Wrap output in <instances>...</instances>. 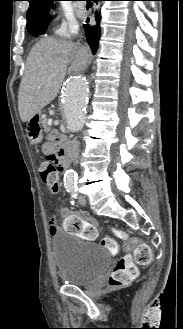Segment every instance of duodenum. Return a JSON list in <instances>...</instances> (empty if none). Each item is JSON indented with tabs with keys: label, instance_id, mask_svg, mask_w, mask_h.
<instances>
[{
	"label": "duodenum",
	"instance_id": "obj_1",
	"mask_svg": "<svg viewBox=\"0 0 183 329\" xmlns=\"http://www.w3.org/2000/svg\"><path fill=\"white\" fill-rule=\"evenodd\" d=\"M57 153L59 155V160L62 168L63 169L66 168L67 165L69 164L70 147L64 139H60V145Z\"/></svg>",
	"mask_w": 183,
	"mask_h": 329
}]
</instances>
